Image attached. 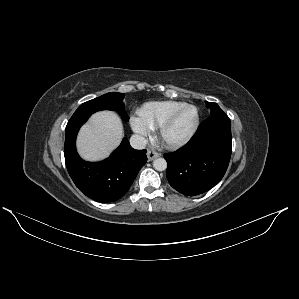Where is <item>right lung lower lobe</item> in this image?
I'll list each match as a JSON object with an SVG mask.
<instances>
[{"label": "right lung lower lobe", "mask_w": 299, "mask_h": 299, "mask_svg": "<svg viewBox=\"0 0 299 299\" xmlns=\"http://www.w3.org/2000/svg\"><path fill=\"white\" fill-rule=\"evenodd\" d=\"M90 115L72 116L65 129L64 156L75 185L98 202L120 199L130 188L139 170L147 162L146 150L133 149L124 138L121 145L104 161L86 162L76 151V136Z\"/></svg>", "instance_id": "obj_1"}]
</instances>
